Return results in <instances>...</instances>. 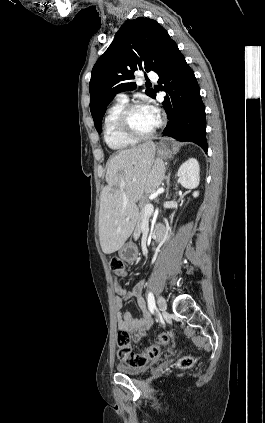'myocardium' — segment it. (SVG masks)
<instances>
[{
    "label": "myocardium",
    "mask_w": 265,
    "mask_h": 423,
    "mask_svg": "<svg viewBox=\"0 0 265 423\" xmlns=\"http://www.w3.org/2000/svg\"><path fill=\"white\" fill-rule=\"evenodd\" d=\"M140 107H148V105L140 101L127 103L119 113L117 119V126L121 134L135 141H144L152 138L157 133L162 124L161 120L158 119L157 125L152 131L146 134H139L135 132L130 125L129 117L133 110Z\"/></svg>",
    "instance_id": "1"
}]
</instances>
